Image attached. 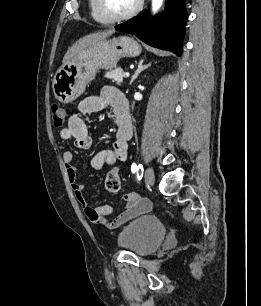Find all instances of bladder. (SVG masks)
Segmentation results:
<instances>
[{
  "instance_id": "31cf9c89",
  "label": "bladder",
  "mask_w": 261,
  "mask_h": 306,
  "mask_svg": "<svg viewBox=\"0 0 261 306\" xmlns=\"http://www.w3.org/2000/svg\"><path fill=\"white\" fill-rule=\"evenodd\" d=\"M165 235L166 228L158 218L144 215L121 229L117 236V244L137 256H147L158 249Z\"/></svg>"
}]
</instances>
